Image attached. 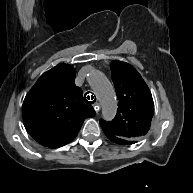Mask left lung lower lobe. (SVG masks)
I'll return each instance as SVG.
<instances>
[{
  "label": "left lung lower lobe",
  "instance_id": "obj_1",
  "mask_svg": "<svg viewBox=\"0 0 193 193\" xmlns=\"http://www.w3.org/2000/svg\"><path fill=\"white\" fill-rule=\"evenodd\" d=\"M107 137L111 140L110 136H107ZM118 144L128 145V144H124L123 142H119Z\"/></svg>",
  "mask_w": 193,
  "mask_h": 193
}]
</instances>
